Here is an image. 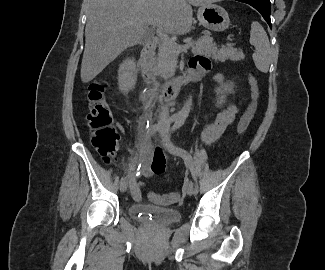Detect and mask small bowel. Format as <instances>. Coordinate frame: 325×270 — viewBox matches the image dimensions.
Masks as SVG:
<instances>
[{"mask_svg": "<svg viewBox=\"0 0 325 270\" xmlns=\"http://www.w3.org/2000/svg\"><path fill=\"white\" fill-rule=\"evenodd\" d=\"M189 68L191 70L192 75H203L208 73L211 69V62L205 56H195L190 60ZM215 80L218 82H222L223 77L221 75H216ZM238 111L239 109L237 105L231 102L225 110H223L217 115L213 122L206 126L203 131L204 141L206 143L215 142L223 134V132L234 122ZM152 170L157 174H160L165 170V159L160 153L157 155L156 160L153 162ZM144 175L150 176L151 171L148 169L145 170ZM130 187L132 197L135 200H139L141 198L142 184L137 182L132 175L130 176Z\"/></svg>", "mask_w": 325, "mask_h": 270, "instance_id": "1", "label": "small bowel"}]
</instances>
